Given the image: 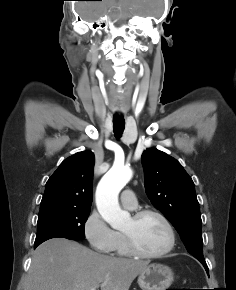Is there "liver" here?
I'll return each instance as SVG.
<instances>
[{
    "mask_svg": "<svg viewBox=\"0 0 236 290\" xmlns=\"http://www.w3.org/2000/svg\"><path fill=\"white\" fill-rule=\"evenodd\" d=\"M147 261L96 253L75 241L50 239L37 247L25 290H129Z\"/></svg>",
    "mask_w": 236,
    "mask_h": 290,
    "instance_id": "1",
    "label": "liver"
}]
</instances>
